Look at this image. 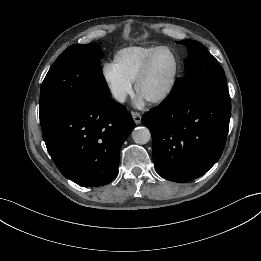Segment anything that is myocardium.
Listing matches in <instances>:
<instances>
[{"instance_id": "1", "label": "myocardium", "mask_w": 261, "mask_h": 261, "mask_svg": "<svg viewBox=\"0 0 261 261\" xmlns=\"http://www.w3.org/2000/svg\"><path fill=\"white\" fill-rule=\"evenodd\" d=\"M163 50L169 51L172 54V56L174 58V70H173L171 79H170L168 85L166 86V88L159 94L146 98V100L151 104H160V103L166 101L170 97V95L172 94V92L176 86L178 74H179V58H178V55L176 54V52L168 46H159L158 48H156L145 60L143 66L141 67V69L134 81L135 91H136V93L139 94V88L149 73L150 66H151V63H152L154 57L160 51H163Z\"/></svg>"}]
</instances>
